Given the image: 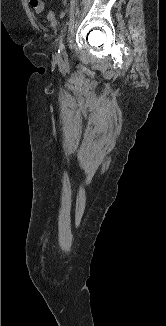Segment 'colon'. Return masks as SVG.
Here are the masks:
<instances>
[{
	"mask_svg": "<svg viewBox=\"0 0 166 326\" xmlns=\"http://www.w3.org/2000/svg\"><path fill=\"white\" fill-rule=\"evenodd\" d=\"M44 17L53 24L56 22V15L53 11L45 12Z\"/></svg>",
	"mask_w": 166,
	"mask_h": 326,
	"instance_id": "obj_1",
	"label": "colon"
}]
</instances>
